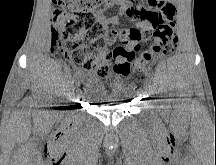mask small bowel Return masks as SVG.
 I'll return each mask as SVG.
<instances>
[{
  "label": "small bowel",
  "instance_id": "c3829d8e",
  "mask_svg": "<svg viewBox=\"0 0 216 165\" xmlns=\"http://www.w3.org/2000/svg\"><path fill=\"white\" fill-rule=\"evenodd\" d=\"M175 0H146L147 5H137V2H132L131 0H111L110 4L102 8L97 14L98 22L104 28V35L106 38V42L108 46L113 45L117 39V32L111 28H109L110 24H114L118 22L120 17L124 15H128L132 17V22L134 24V28L140 30L141 32H147L151 29V22L149 19L140 18L138 16H134V13H150L156 12L159 10H175L174 5ZM119 6V15L109 17L107 15V10L110 7ZM141 40V39H140ZM140 40L135 41L137 44ZM130 70H126L125 72H118L117 74L120 76H128ZM90 85L95 92L96 82H90Z\"/></svg>",
  "mask_w": 216,
  "mask_h": 165
}]
</instances>
